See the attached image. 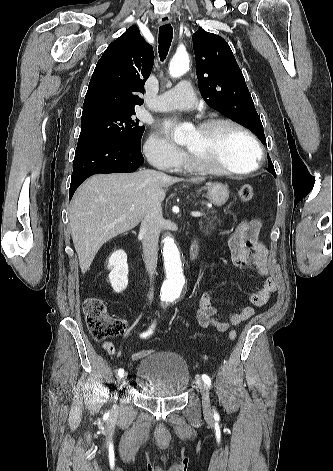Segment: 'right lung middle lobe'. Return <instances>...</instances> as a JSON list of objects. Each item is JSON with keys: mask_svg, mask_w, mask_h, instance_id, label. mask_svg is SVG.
Here are the masks:
<instances>
[{"mask_svg": "<svg viewBox=\"0 0 333 471\" xmlns=\"http://www.w3.org/2000/svg\"><path fill=\"white\" fill-rule=\"evenodd\" d=\"M134 109L104 112L81 118L78 141L107 139L126 144L140 150L145 127L134 118Z\"/></svg>", "mask_w": 333, "mask_h": 471, "instance_id": "right-lung-middle-lobe-1", "label": "right lung middle lobe"}]
</instances>
